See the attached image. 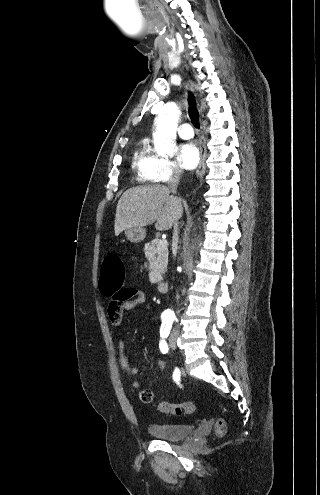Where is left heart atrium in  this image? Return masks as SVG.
<instances>
[{
  "instance_id": "1",
  "label": "left heart atrium",
  "mask_w": 320,
  "mask_h": 495,
  "mask_svg": "<svg viewBox=\"0 0 320 495\" xmlns=\"http://www.w3.org/2000/svg\"><path fill=\"white\" fill-rule=\"evenodd\" d=\"M178 159L185 169H194L199 161L200 154L197 146L193 143H185L179 147Z\"/></svg>"
}]
</instances>
